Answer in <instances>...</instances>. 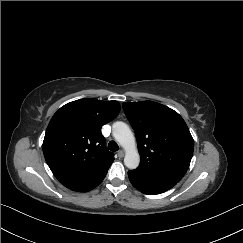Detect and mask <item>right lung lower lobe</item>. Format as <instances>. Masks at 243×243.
I'll return each instance as SVG.
<instances>
[{"instance_id":"98d812e1","label":"right lung lower lobe","mask_w":243,"mask_h":243,"mask_svg":"<svg viewBox=\"0 0 243 243\" xmlns=\"http://www.w3.org/2000/svg\"><path fill=\"white\" fill-rule=\"evenodd\" d=\"M111 164L105 165L92 175L64 184L65 187L79 192H87L98 186L106 176Z\"/></svg>"}]
</instances>
